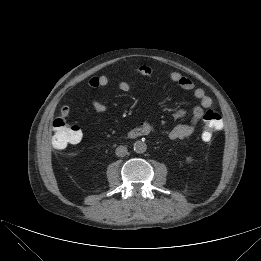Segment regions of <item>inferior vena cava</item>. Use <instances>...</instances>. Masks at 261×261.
<instances>
[{"label":"inferior vena cava","instance_id":"inferior-vena-cava-1","mask_svg":"<svg viewBox=\"0 0 261 261\" xmlns=\"http://www.w3.org/2000/svg\"><path fill=\"white\" fill-rule=\"evenodd\" d=\"M115 153H116V155L118 156V157H124V156H126V154L128 153V150H127V148L125 147V146H118L117 148H116V151H115Z\"/></svg>","mask_w":261,"mask_h":261}]
</instances>
